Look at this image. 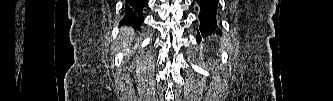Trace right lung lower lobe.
Masks as SVG:
<instances>
[{"label":"right lung lower lobe","instance_id":"98d812e1","mask_svg":"<svg viewBox=\"0 0 333 101\" xmlns=\"http://www.w3.org/2000/svg\"><path fill=\"white\" fill-rule=\"evenodd\" d=\"M126 2L125 15L121 20V24L139 29L144 21L142 9L148 3V0H126Z\"/></svg>","mask_w":333,"mask_h":101}]
</instances>
